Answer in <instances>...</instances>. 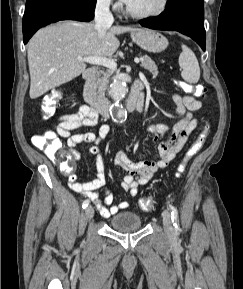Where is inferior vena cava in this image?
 Masks as SVG:
<instances>
[{
    "mask_svg": "<svg viewBox=\"0 0 243 289\" xmlns=\"http://www.w3.org/2000/svg\"><path fill=\"white\" fill-rule=\"evenodd\" d=\"M110 0H98L95 9V29L100 38L106 35L107 29L114 22L109 10Z\"/></svg>",
    "mask_w": 243,
    "mask_h": 289,
    "instance_id": "obj_1",
    "label": "inferior vena cava"
}]
</instances>
